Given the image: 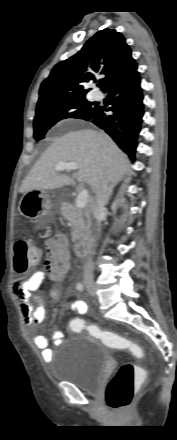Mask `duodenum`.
<instances>
[{"mask_svg":"<svg viewBox=\"0 0 177 440\" xmlns=\"http://www.w3.org/2000/svg\"><path fill=\"white\" fill-rule=\"evenodd\" d=\"M91 242H92V237H89L87 239H80L76 241L74 246L76 255L79 257L86 256L90 251Z\"/></svg>","mask_w":177,"mask_h":440,"instance_id":"obj_1","label":"duodenum"}]
</instances>
